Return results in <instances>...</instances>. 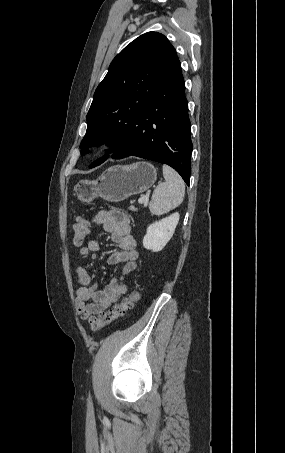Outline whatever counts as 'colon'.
<instances>
[{"mask_svg": "<svg viewBox=\"0 0 285 453\" xmlns=\"http://www.w3.org/2000/svg\"><path fill=\"white\" fill-rule=\"evenodd\" d=\"M89 232L88 222L77 217L73 224V243L76 247L82 246ZM139 298L137 290H132L121 302L115 304L107 311L101 312L96 317L89 319L90 327L93 331L101 330L103 327L111 324L115 320L124 317L130 311Z\"/></svg>", "mask_w": 285, "mask_h": 453, "instance_id": "obj_1", "label": "colon"}]
</instances>
